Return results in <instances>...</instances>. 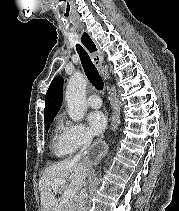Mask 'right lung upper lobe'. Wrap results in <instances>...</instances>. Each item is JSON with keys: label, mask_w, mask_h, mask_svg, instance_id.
<instances>
[{"label": "right lung upper lobe", "mask_w": 179, "mask_h": 211, "mask_svg": "<svg viewBox=\"0 0 179 211\" xmlns=\"http://www.w3.org/2000/svg\"><path fill=\"white\" fill-rule=\"evenodd\" d=\"M63 78L57 76L53 79L45 96V120L55 117L62 104Z\"/></svg>", "instance_id": "cb5924a9"}]
</instances>
